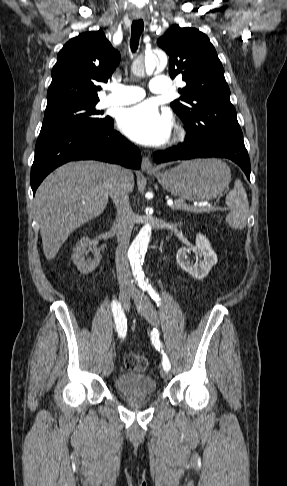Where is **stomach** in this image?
Instances as JSON below:
<instances>
[{"instance_id":"0dacf381","label":"stomach","mask_w":287,"mask_h":486,"mask_svg":"<svg viewBox=\"0 0 287 486\" xmlns=\"http://www.w3.org/2000/svg\"><path fill=\"white\" fill-rule=\"evenodd\" d=\"M150 174L165 190L189 201L214 199L231 180L230 168L215 158L183 161L172 169Z\"/></svg>"}]
</instances>
